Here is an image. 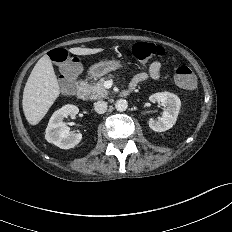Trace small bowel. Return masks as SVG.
<instances>
[{"label": "small bowel", "mask_w": 232, "mask_h": 232, "mask_svg": "<svg viewBox=\"0 0 232 232\" xmlns=\"http://www.w3.org/2000/svg\"><path fill=\"white\" fill-rule=\"evenodd\" d=\"M161 62L160 61H153L147 71L140 72L134 76L131 81V88H135L139 83L147 80L148 78L158 80L161 76Z\"/></svg>", "instance_id": "1"}]
</instances>
